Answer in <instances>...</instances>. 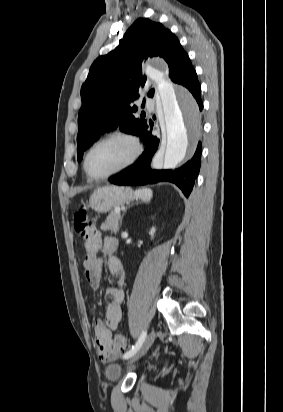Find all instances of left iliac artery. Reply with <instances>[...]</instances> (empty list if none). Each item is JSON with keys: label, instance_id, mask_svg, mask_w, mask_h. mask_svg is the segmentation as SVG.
Masks as SVG:
<instances>
[{"label": "left iliac artery", "instance_id": "obj_1", "mask_svg": "<svg viewBox=\"0 0 283 412\" xmlns=\"http://www.w3.org/2000/svg\"><path fill=\"white\" fill-rule=\"evenodd\" d=\"M146 331H143L142 334L140 335L138 341L136 342V344L134 346H132V348L126 352L123 355L124 359H128L130 357H132L141 347L142 343L144 342L145 338H146Z\"/></svg>", "mask_w": 283, "mask_h": 412}]
</instances>
